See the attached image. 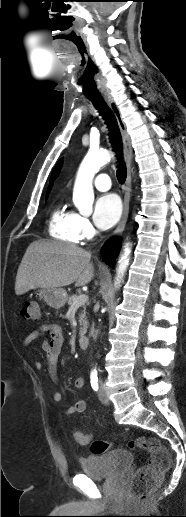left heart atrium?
<instances>
[{
    "label": "left heart atrium",
    "instance_id": "obj_1",
    "mask_svg": "<svg viewBox=\"0 0 186 517\" xmlns=\"http://www.w3.org/2000/svg\"><path fill=\"white\" fill-rule=\"evenodd\" d=\"M122 205L115 194H106L98 198L94 208L93 219L102 230L111 228L120 218Z\"/></svg>",
    "mask_w": 186,
    "mask_h": 517
}]
</instances>
